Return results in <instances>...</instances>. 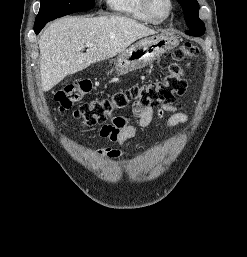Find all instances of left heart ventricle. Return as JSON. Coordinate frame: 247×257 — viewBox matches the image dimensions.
Here are the masks:
<instances>
[{
	"label": "left heart ventricle",
	"instance_id": "obj_1",
	"mask_svg": "<svg viewBox=\"0 0 247 257\" xmlns=\"http://www.w3.org/2000/svg\"><path fill=\"white\" fill-rule=\"evenodd\" d=\"M167 8L168 5L165 0H156V10L160 15L164 14Z\"/></svg>",
	"mask_w": 247,
	"mask_h": 257
}]
</instances>
